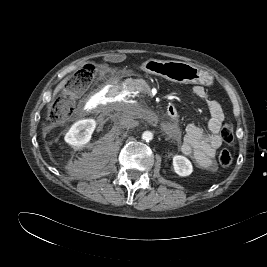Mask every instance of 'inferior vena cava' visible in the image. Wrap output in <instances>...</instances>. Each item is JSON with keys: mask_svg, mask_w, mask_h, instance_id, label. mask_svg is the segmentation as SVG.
Masks as SVG:
<instances>
[{"mask_svg": "<svg viewBox=\"0 0 267 267\" xmlns=\"http://www.w3.org/2000/svg\"><path fill=\"white\" fill-rule=\"evenodd\" d=\"M119 123L122 127L127 129L138 126V121L134 120L133 117L129 114L121 116Z\"/></svg>", "mask_w": 267, "mask_h": 267, "instance_id": "1", "label": "inferior vena cava"}]
</instances>
